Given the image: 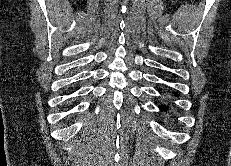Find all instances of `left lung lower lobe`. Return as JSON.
Instances as JSON below:
<instances>
[{
    "label": "left lung lower lobe",
    "instance_id": "1",
    "mask_svg": "<svg viewBox=\"0 0 231 166\" xmlns=\"http://www.w3.org/2000/svg\"><path fill=\"white\" fill-rule=\"evenodd\" d=\"M160 109H161L162 111L167 110V108H166L164 105H161V106H160Z\"/></svg>",
    "mask_w": 231,
    "mask_h": 166
}]
</instances>
